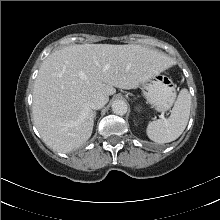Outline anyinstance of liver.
I'll list each match as a JSON object with an SVG mask.
<instances>
[{
    "instance_id": "liver-1",
    "label": "liver",
    "mask_w": 220,
    "mask_h": 220,
    "mask_svg": "<svg viewBox=\"0 0 220 220\" xmlns=\"http://www.w3.org/2000/svg\"><path fill=\"white\" fill-rule=\"evenodd\" d=\"M174 64L164 53L141 45L79 44L51 53L33 89V119L44 143L59 152L83 145L94 126L88 97L115 88L135 89Z\"/></svg>"
}]
</instances>
